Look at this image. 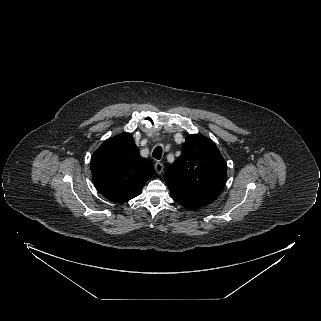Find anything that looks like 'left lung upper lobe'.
<instances>
[{
  "label": "left lung upper lobe",
  "mask_w": 321,
  "mask_h": 321,
  "mask_svg": "<svg viewBox=\"0 0 321 321\" xmlns=\"http://www.w3.org/2000/svg\"><path fill=\"white\" fill-rule=\"evenodd\" d=\"M226 175V162L215 143L207 137L189 135L182 155L167 168L164 179L175 201L197 210L219 196Z\"/></svg>",
  "instance_id": "obj_1"
}]
</instances>
